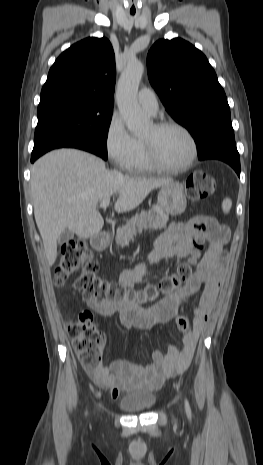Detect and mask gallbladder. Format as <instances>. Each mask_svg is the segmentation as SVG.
Masks as SVG:
<instances>
[{"label": "gallbladder", "mask_w": 263, "mask_h": 465, "mask_svg": "<svg viewBox=\"0 0 263 465\" xmlns=\"http://www.w3.org/2000/svg\"><path fill=\"white\" fill-rule=\"evenodd\" d=\"M73 238H74V233L69 229H65L59 236L58 243L63 244Z\"/></svg>", "instance_id": "obj_1"}]
</instances>
